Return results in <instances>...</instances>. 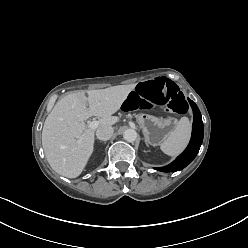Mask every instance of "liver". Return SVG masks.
<instances>
[{
	"instance_id": "liver-1",
	"label": "liver",
	"mask_w": 248,
	"mask_h": 248,
	"mask_svg": "<svg viewBox=\"0 0 248 248\" xmlns=\"http://www.w3.org/2000/svg\"><path fill=\"white\" fill-rule=\"evenodd\" d=\"M135 86L79 90L56 103L42 130L44 153L55 172L67 178H76L82 173L93 153L95 135V131L86 129L83 122L96 116L100 118L99 127L117 123L118 117L112 115L120 109Z\"/></svg>"
}]
</instances>
